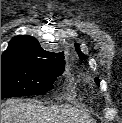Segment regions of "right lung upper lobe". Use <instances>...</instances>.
Instances as JSON below:
<instances>
[{
    "label": "right lung upper lobe",
    "mask_w": 122,
    "mask_h": 123,
    "mask_svg": "<svg viewBox=\"0 0 122 123\" xmlns=\"http://www.w3.org/2000/svg\"><path fill=\"white\" fill-rule=\"evenodd\" d=\"M63 52L45 51L39 42L31 36L19 35L9 42V46L1 56V60H18L37 65L64 66Z\"/></svg>",
    "instance_id": "cb5924a9"
}]
</instances>
